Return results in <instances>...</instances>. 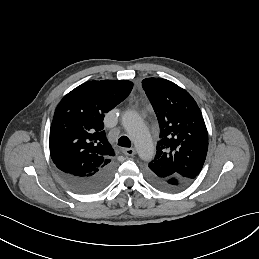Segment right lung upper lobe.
<instances>
[{"label": "right lung upper lobe", "mask_w": 259, "mask_h": 259, "mask_svg": "<svg viewBox=\"0 0 259 259\" xmlns=\"http://www.w3.org/2000/svg\"><path fill=\"white\" fill-rule=\"evenodd\" d=\"M132 88L127 80L88 81L64 96L49 137L50 155L58 169L85 176L111 162L115 153L103 130L104 115Z\"/></svg>", "instance_id": "1"}]
</instances>
